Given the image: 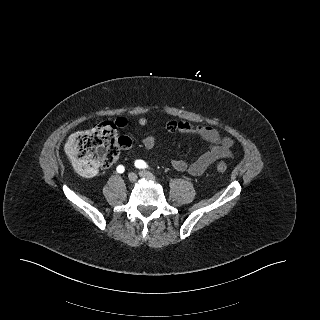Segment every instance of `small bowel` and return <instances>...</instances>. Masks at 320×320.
Returning a JSON list of instances; mask_svg holds the SVG:
<instances>
[{
	"label": "small bowel",
	"instance_id": "small-bowel-1",
	"mask_svg": "<svg viewBox=\"0 0 320 320\" xmlns=\"http://www.w3.org/2000/svg\"><path fill=\"white\" fill-rule=\"evenodd\" d=\"M116 124L123 127L126 125V120L119 118ZM146 124V118L141 117L138 119L139 126L143 127ZM166 130L170 133L180 132L196 135L208 144L207 150L191 163L182 159H173L171 165L179 172L186 171L191 175L198 176L203 174L215 161L232 157V139L227 136H221L216 129L210 126L199 125L189 121L170 120L166 124ZM142 143L147 150H151L156 145V137L148 135L143 139Z\"/></svg>",
	"mask_w": 320,
	"mask_h": 320
}]
</instances>
